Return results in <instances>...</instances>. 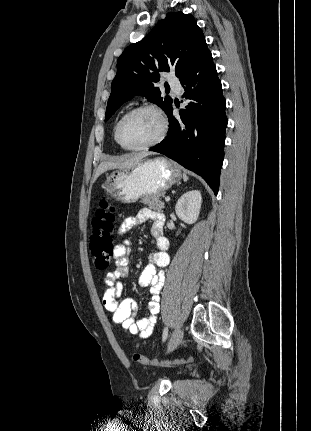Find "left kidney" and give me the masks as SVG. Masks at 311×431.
I'll list each match as a JSON object with an SVG mask.
<instances>
[{
  "label": "left kidney",
  "instance_id": "obj_1",
  "mask_svg": "<svg viewBox=\"0 0 311 431\" xmlns=\"http://www.w3.org/2000/svg\"><path fill=\"white\" fill-rule=\"evenodd\" d=\"M201 204V192L192 190V192H186L179 198L175 206V212L185 223H195L200 214Z\"/></svg>",
  "mask_w": 311,
  "mask_h": 431
}]
</instances>
